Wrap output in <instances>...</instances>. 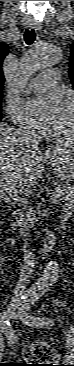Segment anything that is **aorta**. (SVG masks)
<instances>
[{
  "instance_id": "obj_1",
  "label": "aorta",
  "mask_w": 74,
  "mask_h": 366,
  "mask_svg": "<svg viewBox=\"0 0 74 366\" xmlns=\"http://www.w3.org/2000/svg\"><path fill=\"white\" fill-rule=\"evenodd\" d=\"M62 59V49L56 45L38 42L23 57L20 64L18 86L25 91L28 82L41 69L56 66Z\"/></svg>"
}]
</instances>
